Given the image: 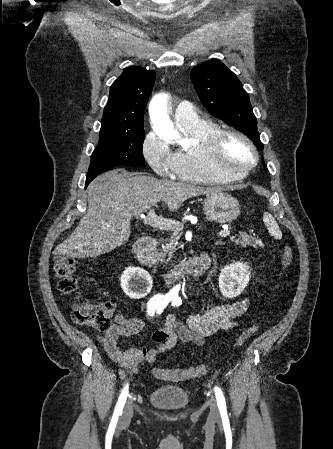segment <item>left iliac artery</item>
Instances as JSON below:
<instances>
[{
    "label": "left iliac artery",
    "mask_w": 333,
    "mask_h": 449,
    "mask_svg": "<svg viewBox=\"0 0 333 449\" xmlns=\"http://www.w3.org/2000/svg\"><path fill=\"white\" fill-rule=\"evenodd\" d=\"M174 304H175V301H174ZM214 391H215L217 405L220 410L221 416L223 419L227 418L226 402H225L223 392L221 391V389L218 386H215Z\"/></svg>",
    "instance_id": "1"
}]
</instances>
